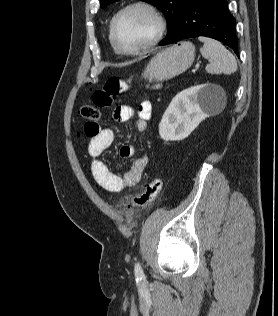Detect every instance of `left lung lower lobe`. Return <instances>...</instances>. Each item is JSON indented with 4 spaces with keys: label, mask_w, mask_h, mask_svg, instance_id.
Returning a JSON list of instances; mask_svg holds the SVG:
<instances>
[{
    "label": "left lung lower lobe",
    "mask_w": 278,
    "mask_h": 316,
    "mask_svg": "<svg viewBox=\"0 0 278 316\" xmlns=\"http://www.w3.org/2000/svg\"><path fill=\"white\" fill-rule=\"evenodd\" d=\"M197 36L219 40L238 55L235 19L226 0H186L174 30L159 45Z\"/></svg>",
    "instance_id": "left-lung-lower-lobe-1"
}]
</instances>
